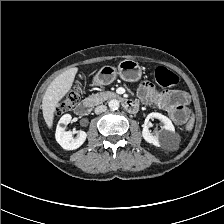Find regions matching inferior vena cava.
I'll return each instance as SVG.
<instances>
[{
    "mask_svg": "<svg viewBox=\"0 0 224 224\" xmlns=\"http://www.w3.org/2000/svg\"><path fill=\"white\" fill-rule=\"evenodd\" d=\"M107 110V107L105 105H99L95 108V113L100 114L102 112H105Z\"/></svg>",
    "mask_w": 224,
    "mask_h": 224,
    "instance_id": "1",
    "label": "inferior vena cava"
}]
</instances>
